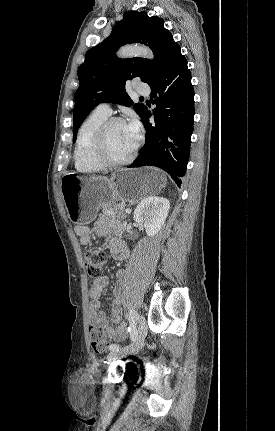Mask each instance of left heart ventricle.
Wrapping results in <instances>:
<instances>
[{
    "label": "left heart ventricle",
    "mask_w": 275,
    "mask_h": 431,
    "mask_svg": "<svg viewBox=\"0 0 275 431\" xmlns=\"http://www.w3.org/2000/svg\"><path fill=\"white\" fill-rule=\"evenodd\" d=\"M107 153L114 160H123L127 158L134 146L132 145L126 130V124L114 125L107 136Z\"/></svg>",
    "instance_id": "1"
}]
</instances>
